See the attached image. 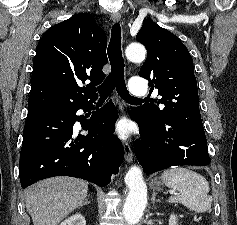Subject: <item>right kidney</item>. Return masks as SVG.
Masks as SVG:
<instances>
[{
  "label": "right kidney",
  "mask_w": 237,
  "mask_h": 225,
  "mask_svg": "<svg viewBox=\"0 0 237 225\" xmlns=\"http://www.w3.org/2000/svg\"><path fill=\"white\" fill-rule=\"evenodd\" d=\"M60 225H86V221L81 214L77 213L61 222Z\"/></svg>",
  "instance_id": "right-kidney-1"
}]
</instances>
